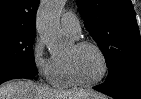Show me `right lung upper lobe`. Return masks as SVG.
Listing matches in <instances>:
<instances>
[{
	"instance_id": "obj_1",
	"label": "right lung upper lobe",
	"mask_w": 141,
	"mask_h": 99,
	"mask_svg": "<svg viewBox=\"0 0 141 99\" xmlns=\"http://www.w3.org/2000/svg\"><path fill=\"white\" fill-rule=\"evenodd\" d=\"M39 0H0V29L22 28L36 30Z\"/></svg>"
}]
</instances>
